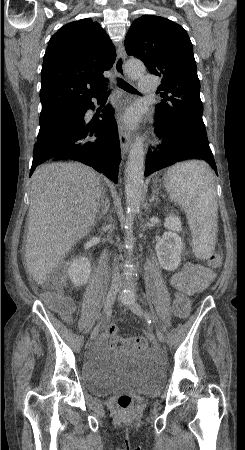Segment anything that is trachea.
<instances>
[{
  "instance_id": "3493384b",
  "label": "trachea",
  "mask_w": 245,
  "mask_h": 450,
  "mask_svg": "<svg viewBox=\"0 0 245 450\" xmlns=\"http://www.w3.org/2000/svg\"><path fill=\"white\" fill-rule=\"evenodd\" d=\"M118 85L119 87H121L123 90L130 92V93H138V91L131 86L130 84H128L127 82H125L123 79H118ZM109 93H106V95H108Z\"/></svg>"
}]
</instances>
